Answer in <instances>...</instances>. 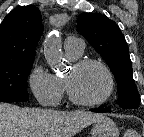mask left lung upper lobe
I'll list each match as a JSON object with an SVG mask.
<instances>
[{
  "instance_id": "left-lung-upper-lobe-1",
  "label": "left lung upper lobe",
  "mask_w": 144,
  "mask_h": 137,
  "mask_svg": "<svg viewBox=\"0 0 144 137\" xmlns=\"http://www.w3.org/2000/svg\"><path fill=\"white\" fill-rule=\"evenodd\" d=\"M77 29L113 72L120 107L137 109L140 98L133 80L129 49L117 24L100 13H83L78 18Z\"/></svg>"
}]
</instances>
